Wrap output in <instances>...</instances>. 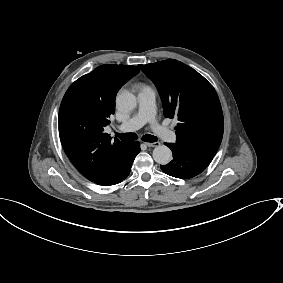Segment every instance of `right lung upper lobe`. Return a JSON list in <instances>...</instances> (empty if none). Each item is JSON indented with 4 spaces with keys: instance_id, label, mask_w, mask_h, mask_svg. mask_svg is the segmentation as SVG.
Here are the masks:
<instances>
[{
    "instance_id": "cb5924a9",
    "label": "right lung upper lobe",
    "mask_w": 283,
    "mask_h": 283,
    "mask_svg": "<svg viewBox=\"0 0 283 283\" xmlns=\"http://www.w3.org/2000/svg\"><path fill=\"white\" fill-rule=\"evenodd\" d=\"M139 73L135 66L104 64L77 79L66 91L59 110V135L68 158L92 182L123 166L133 141H111L104 127L115 112L118 90Z\"/></svg>"
}]
</instances>
